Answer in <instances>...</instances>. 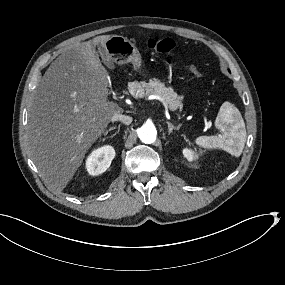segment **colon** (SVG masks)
Listing matches in <instances>:
<instances>
[{"instance_id": "colon-1", "label": "colon", "mask_w": 285, "mask_h": 285, "mask_svg": "<svg viewBox=\"0 0 285 285\" xmlns=\"http://www.w3.org/2000/svg\"><path fill=\"white\" fill-rule=\"evenodd\" d=\"M147 47L153 52L161 54H174L176 49V44L171 38L154 39L150 38L147 41ZM187 70L194 76H202V72L195 66H187Z\"/></svg>"}]
</instances>
